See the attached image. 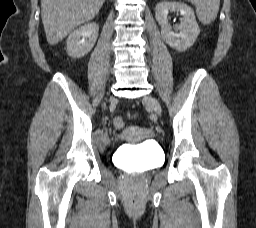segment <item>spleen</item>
<instances>
[{
	"label": "spleen",
	"mask_w": 256,
	"mask_h": 228,
	"mask_svg": "<svg viewBox=\"0 0 256 228\" xmlns=\"http://www.w3.org/2000/svg\"><path fill=\"white\" fill-rule=\"evenodd\" d=\"M196 7L199 21L203 25L212 23L218 14L220 0H188Z\"/></svg>",
	"instance_id": "spleen-1"
}]
</instances>
